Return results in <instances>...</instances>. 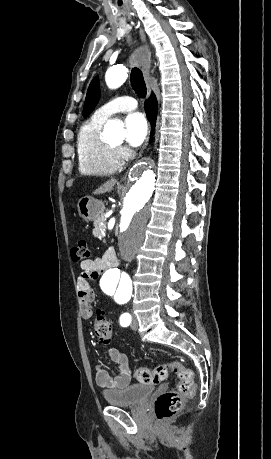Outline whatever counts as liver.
Returning a JSON list of instances; mask_svg holds the SVG:
<instances>
[{
    "mask_svg": "<svg viewBox=\"0 0 271 459\" xmlns=\"http://www.w3.org/2000/svg\"><path fill=\"white\" fill-rule=\"evenodd\" d=\"M117 180H108L106 184H102L100 188H97L93 194H105V192H111L113 190V186H115Z\"/></svg>",
    "mask_w": 271,
    "mask_h": 459,
    "instance_id": "6515ba94",
    "label": "liver"
}]
</instances>
